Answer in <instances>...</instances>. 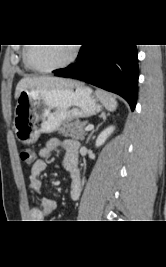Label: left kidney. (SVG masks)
<instances>
[{
	"instance_id": "obj_1",
	"label": "left kidney",
	"mask_w": 166,
	"mask_h": 267,
	"mask_svg": "<svg viewBox=\"0 0 166 267\" xmlns=\"http://www.w3.org/2000/svg\"><path fill=\"white\" fill-rule=\"evenodd\" d=\"M115 130L114 126H109L106 129H104L97 137L96 139V147H99L105 143V141L108 139V137L113 133Z\"/></svg>"
}]
</instances>
